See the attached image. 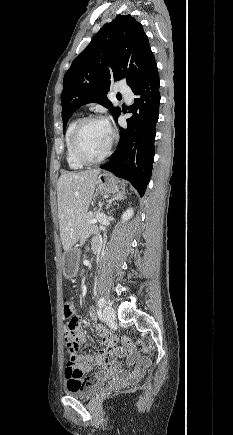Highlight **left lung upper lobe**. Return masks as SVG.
Segmentation results:
<instances>
[{"label": "left lung upper lobe", "instance_id": "left-lung-upper-lobe-1", "mask_svg": "<svg viewBox=\"0 0 233 435\" xmlns=\"http://www.w3.org/2000/svg\"><path fill=\"white\" fill-rule=\"evenodd\" d=\"M155 64L143 26L131 15H118L105 24L66 72L62 91L63 130L71 115L83 104L96 102L116 118L120 108L107 98L112 81L138 83Z\"/></svg>", "mask_w": 233, "mask_h": 435}]
</instances>
